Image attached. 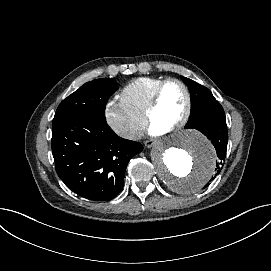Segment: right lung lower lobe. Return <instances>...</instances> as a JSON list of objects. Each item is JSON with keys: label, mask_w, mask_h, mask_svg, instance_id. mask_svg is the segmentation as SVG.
I'll use <instances>...</instances> for the list:
<instances>
[{"label": "right lung lower lobe", "mask_w": 271, "mask_h": 271, "mask_svg": "<svg viewBox=\"0 0 271 271\" xmlns=\"http://www.w3.org/2000/svg\"><path fill=\"white\" fill-rule=\"evenodd\" d=\"M52 153L60 179L90 201H109L124 185L129 160L143 149L117 136L105 119L73 115L52 125Z\"/></svg>", "instance_id": "1"}]
</instances>
